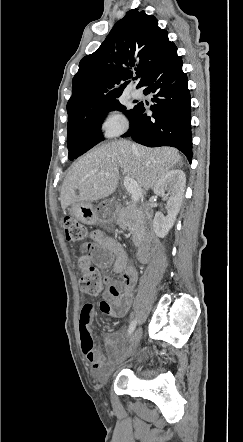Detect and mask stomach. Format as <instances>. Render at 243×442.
Returning a JSON list of instances; mask_svg holds the SVG:
<instances>
[{
	"label": "stomach",
	"mask_w": 243,
	"mask_h": 442,
	"mask_svg": "<svg viewBox=\"0 0 243 442\" xmlns=\"http://www.w3.org/2000/svg\"><path fill=\"white\" fill-rule=\"evenodd\" d=\"M70 214L85 224H105L115 217L108 212L106 206L94 207L91 202H77L70 206Z\"/></svg>",
	"instance_id": "obj_1"
}]
</instances>
